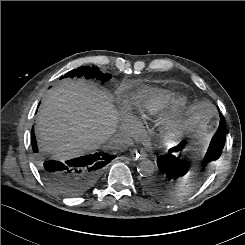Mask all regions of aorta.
<instances>
[{
  "instance_id": "aorta-1",
  "label": "aorta",
  "mask_w": 245,
  "mask_h": 245,
  "mask_svg": "<svg viewBox=\"0 0 245 245\" xmlns=\"http://www.w3.org/2000/svg\"><path fill=\"white\" fill-rule=\"evenodd\" d=\"M137 170L143 177L151 176L155 171L154 163L150 160H143L139 163Z\"/></svg>"
}]
</instances>
